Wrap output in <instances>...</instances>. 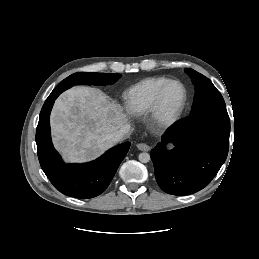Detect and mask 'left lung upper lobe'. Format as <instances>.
Instances as JSON below:
<instances>
[{
    "mask_svg": "<svg viewBox=\"0 0 259 259\" xmlns=\"http://www.w3.org/2000/svg\"><path fill=\"white\" fill-rule=\"evenodd\" d=\"M186 72L191 77L196 90L191 114L208 109H226L222 95L207 77L190 68H187Z\"/></svg>",
    "mask_w": 259,
    "mask_h": 259,
    "instance_id": "1",
    "label": "left lung upper lobe"
}]
</instances>
